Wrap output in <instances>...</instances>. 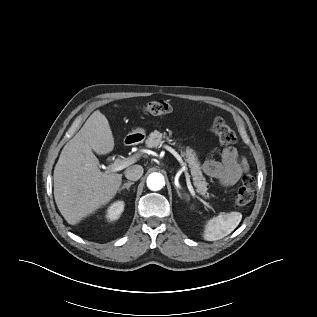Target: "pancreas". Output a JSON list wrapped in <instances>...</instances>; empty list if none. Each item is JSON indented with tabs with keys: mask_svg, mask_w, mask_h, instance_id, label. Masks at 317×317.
<instances>
[{
	"mask_svg": "<svg viewBox=\"0 0 317 317\" xmlns=\"http://www.w3.org/2000/svg\"><path fill=\"white\" fill-rule=\"evenodd\" d=\"M165 140L172 145H175L172 139L166 135V133H160L159 131L155 130L154 132L150 133L146 145L149 148L153 147H160ZM181 156L185 158L186 162L189 164L190 170L192 172L194 179V186L197 188L196 191L203 195L204 197L208 198L209 193L207 192V182L205 181V177L202 174L200 161L198 160L197 153L190 147H183L180 146Z\"/></svg>",
	"mask_w": 317,
	"mask_h": 317,
	"instance_id": "cf45deb5",
	"label": "pancreas"
}]
</instances>
